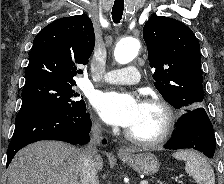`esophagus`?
<instances>
[{"label":"esophagus","instance_id":"obj_1","mask_svg":"<svg viewBox=\"0 0 224 184\" xmlns=\"http://www.w3.org/2000/svg\"><path fill=\"white\" fill-rule=\"evenodd\" d=\"M117 153L120 156H127V155H129V151L127 149H125V148H119Z\"/></svg>","mask_w":224,"mask_h":184}]
</instances>
